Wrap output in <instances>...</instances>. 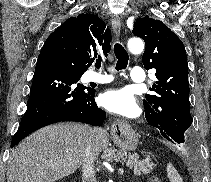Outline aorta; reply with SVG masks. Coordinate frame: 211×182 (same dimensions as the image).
<instances>
[{"label":"aorta","mask_w":211,"mask_h":182,"mask_svg":"<svg viewBox=\"0 0 211 182\" xmlns=\"http://www.w3.org/2000/svg\"><path fill=\"white\" fill-rule=\"evenodd\" d=\"M128 49L132 53H140L144 49V43L140 38H131L128 41Z\"/></svg>","instance_id":"1"}]
</instances>
